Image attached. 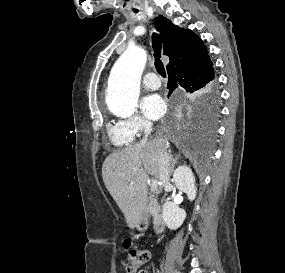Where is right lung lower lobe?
I'll list each match as a JSON object with an SVG mask.
<instances>
[{
	"instance_id": "obj_1",
	"label": "right lung lower lobe",
	"mask_w": 285,
	"mask_h": 273,
	"mask_svg": "<svg viewBox=\"0 0 285 273\" xmlns=\"http://www.w3.org/2000/svg\"><path fill=\"white\" fill-rule=\"evenodd\" d=\"M167 72L169 95L178 86L193 93L202 91L214 83V69L208 52ZM195 123L198 129L206 126L205 119L200 114H198Z\"/></svg>"
}]
</instances>
